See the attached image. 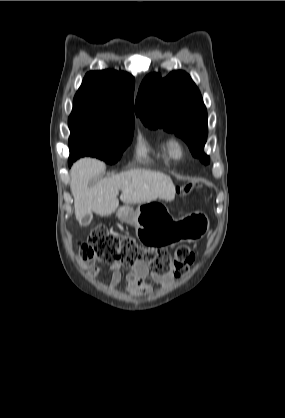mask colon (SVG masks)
I'll use <instances>...</instances> for the list:
<instances>
[{"label": "colon", "instance_id": "colon-1", "mask_svg": "<svg viewBox=\"0 0 285 418\" xmlns=\"http://www.w3.org/2000/svg\"><path fill=\"white\" fill-rule=\"evenodd\" d=\"M78 253L84 263L117 262L125 267L144 263L156 276L170 278L186 274L195 262L194 254L186 245H179L170 255L160 249L140 247L134 240L110 233L101 225L93 227L87 240L78 243Z\"/></svg>", "mask_w": 285, "mask_h": 418}]
</instances>
